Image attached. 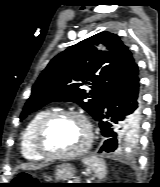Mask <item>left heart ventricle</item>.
Here are the masks:
<instances>
[{
    "label": "left heart ventricle",
    "mask_w": 160,
    "mask_h": 187,
    "mask_svg": "<svg viewBox=\"0 0 160 187\" xmlns=\"http://www.w3.org/2000/svg\"><path fill=\"white\" fill-rule=\"evenodd\" d=\"M87 139V130L77 117H64L51 128L48 145L59 152H73L81 148Z\"/></svg>",
    "instance_id": "left-heart-ventricle-1"
}]
</instances>
